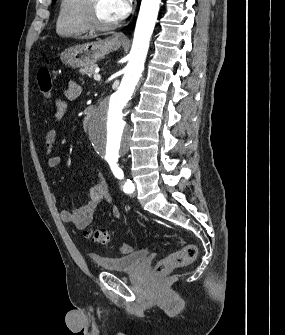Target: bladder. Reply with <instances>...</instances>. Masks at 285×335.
<instances>
[{"instance_id": "1", "label": "bladder", "mask_w": 285, "mask_h": 335, "mask_svg": "<svg viewBox=\"0 0 285 335\" xmlns=\"http://www.w3.org/2000/svg\"><path fill=\"white\" fill-rule=\"evenodd\" d=\"M148 256V250L146 248H141L122 256L93 258V265H98V267L103 269L106 273L134 272L139 269V266L144 265Z\"/></svg>"}]
</instances>
